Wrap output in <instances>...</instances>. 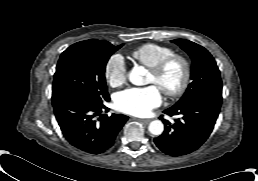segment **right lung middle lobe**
Wrapping results in <instances>:
<instances>
[{"instance_id": "dd1d6c3e", "label": "right lung middle lobe", "mask_w": 258, "mask_h": 181, "mask_svg": "<svg viewBox=\"0 0 258 181\" xmlns=\"http://www.w3.org/2000/svg\"><path fill=\"white\" fill-rule=\"evenodd\" d=\"M121 47L96 39L68 47L57 64L52 99L70 96L93 105L103 104L109 99L105 81L106 63Z\"/></svg>"}]
</instances>
